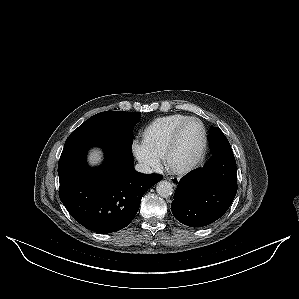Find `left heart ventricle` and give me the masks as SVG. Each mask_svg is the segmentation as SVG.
<instances>
[{
	"label": "left heart ventricle",
	"mask_w": 299,
	"mask_h": 299,
	"mask_svg": "<svg viewBox=\"0 0 299 299\" xmlns=\"http://www.w3.org/2000/svg\"><path fill=\"white\" fill-rule=\"evenodd\" d=\"M202 143V129L196 122L187 124L179 133L169 156V164L174 168L185 167L199 154Z\"/></svg>",
	"instance_id": "1"
}]
</instances>
